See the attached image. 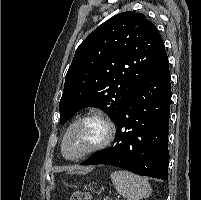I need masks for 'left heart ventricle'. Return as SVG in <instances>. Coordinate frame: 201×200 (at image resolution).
<instances>
[{
    "mask_svg": "<svg viewBox=\"0 0 201 200\" xmlns=\"http://www.w3.org/2000/svg\"><path fill=\"white\" fill-rule=\"evenodd\" d=\"M103 136L102 126L95 121L77 125L69 134L66 142V154L75 157L94 146Z\"/></svg>",
    "mask_w": 201,
    "mask_h": 200,
    "instance_id": "left-heart-ventricle-1",
    "label": "left heart ventricle"
}]
</instances>
